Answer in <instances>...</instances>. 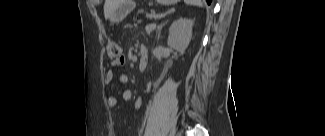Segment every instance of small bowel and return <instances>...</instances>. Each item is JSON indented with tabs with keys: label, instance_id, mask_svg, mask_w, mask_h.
Instances as JSON below:
<instances>
[{
	"label": "small bowel",
	"instance_id": "obj_1",
	"mask_svg": "<svg viewBox=\"0 0 325 136\" xmlns=\"http://www.w3.org/2000/svg\"><path fill=\"white\" fill-rule=\"evenodd\" d=\"M121 62H113L114 66L121 65ZM115 77V73L113 70H108L105 74V82L106 84H110L113 82ZM118 80L121 84L125 85L129 82V76L127 74H120L118 77ZM122 98L124 101H130L133 99V93L130 89H125L122 93ZM118 104V99L115 96H109L107 98V106L109 108H115ZM143 104V99L141 97H137L134 100V107L135 108H140Z\"/></svg>",
	"mask_w": 325,
	"mask_h": 136
}]
</instances>
